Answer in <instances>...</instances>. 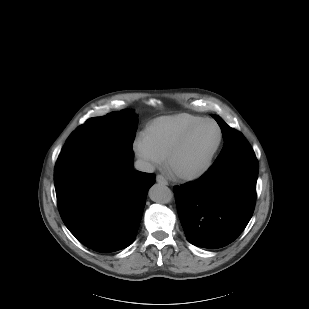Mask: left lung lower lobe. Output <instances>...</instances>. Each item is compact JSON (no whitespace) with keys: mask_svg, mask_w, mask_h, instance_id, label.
<instances>
[{"mask_svg":"<svg viewBox=\"0 0 309 309\" xmlns=\"http://www.w3.org/2000/svg\"><path fill=\"white\" fill-rule=\"evenodd\" d=\"M257 176L255 153L247 150L215 162L197 181L174 187L187 240L209 249L233 242L252 217Z\"/></svg>","mask_w":309,"mask_h":309,"instance_id":"left-lung-lower-lobe-1","label":"left lung lower lobe"}]
</instances>
